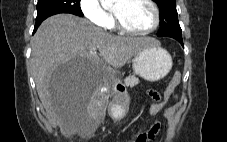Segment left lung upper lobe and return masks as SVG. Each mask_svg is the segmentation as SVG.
<instances>
[{
  "label": "left lung upper lobe",
  "instance_id": "obj_1",
  "mask_svg": "<svg viewBox=\"0 0 227 142\" xmlns=\"http://www.w3.org/2000/svg\"><path fill=\"white\" fill-rule=\"evenodd\" d=\"M160 9L159 36L173 35L182 37V30L178 22L176 0H155Z\"/></svg>",
  "mask_w": 227,
  "mask_h": 142
}]
</instances>
